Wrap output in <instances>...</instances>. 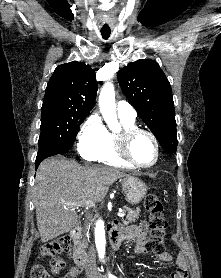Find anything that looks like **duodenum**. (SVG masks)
Returning a JSON list of instances; mask_svg holds the SVG:
<instances>
[{"label": "duodenum", "mask_w": 221, "mask_h": 278, "mask_svg": "<svg viewBox=\"0 0 221 278\" xmlns=\"http://www.w3.org/2000/svg\"><path fill=\"white\" fill-rule=\"evenodd\" d=\"M82 229L80 226L74 227L71 231V237L75 242H78L81 238ZM129 237L126 234V229L121 228L116 224H111L110 227V243L114 250H118L122 242ZM72 258L77 267L81 270L84 268L87 260L85 252L77 244L73 250Z\"/></svg>", "instance_id": "duodenum-1"}]
</instances>
